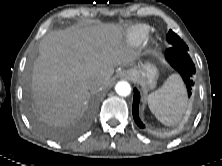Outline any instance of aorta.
Here are the masks:
<instances>
[{
  "label": "aorta",
  "mask_w": 222,
  "mask_h": 166,
  "mask_svg": "<svg viewBox=\"0 0 222 166\" xmlns=\"http://www.w3.org/2000/svg\"><path fill=\"white\" fill-rule=\"evenodd\" d=\"M116 93L120 96H128L131 92V86L126 81H121L116 84L115 87Z\"/></svg>",
  "instance_id": "obj_1"
}]
</instances>
